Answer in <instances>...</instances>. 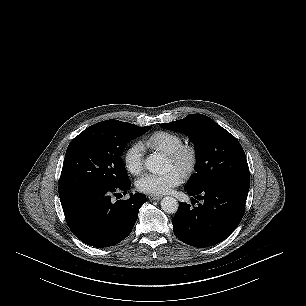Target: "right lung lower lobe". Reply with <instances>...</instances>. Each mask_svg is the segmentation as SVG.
<instances>
[{"mask_svg":"<svg viewBox=\"0 0 306 306\" xmlns=\"http://www.w3.org/2000/svg\"><path fill=\"white\" fill-rule=\"evenodd\" d=\"M130 180L120 186L95 185L60 197L66 222L73 234L93 247L114 246L132 231L146 196L131 195L112 202L111 196L130 188Z\"/></svg>","mask_w":306,"mask_h":306,"instance_id":"obj_1","label":"right lung lower lobe"}]
</instances>
